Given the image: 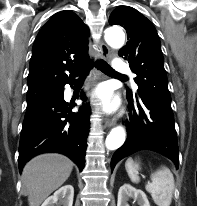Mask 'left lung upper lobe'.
I'll use <instances>...</instances> for the list:
<instances>
[{"mask_svg":"<svg viewBox=\"0 0 197 206\" xmlns=\"http://www.w3.org/2000/svg\"><path fill=\"white\" fill-rule=\"evenodd\" d=\"M109 23L120 25L127 31L129 41L119 51V56L128 60L131 70L137 75L138 93L171 103L160 39L153 24L129 6L116 8ZM127 93L132 94V91Z\"/></svg>","mask_w":197,"mask_h":206,"instance_id":"5c2ea615","label":"left lung upper lobe"}]
</instances>
